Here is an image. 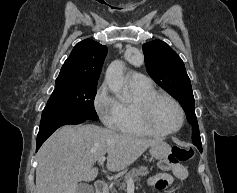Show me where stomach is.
Here are the masks:
<instances>
[{"mask_svg": "<svg viewBox=\"0 0 237 193\" xmlns=\"http://www.w3.org/2000/svg\"><path fill=\"white\" fill-rule=\"evenodd\" d=\"M170 153V146L164 142L159 141L150 147V154L155 159H163Z\"/></svg>", "mask_w": 237, "mask_h": 193, "instance_id": "obj_1", "label": "stomach"}]
</instances>
